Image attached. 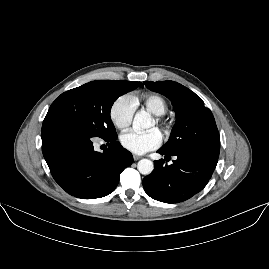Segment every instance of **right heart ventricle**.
I'll list each match as a JSON object with an SVG mask.
<instances>
[{
  "label": "right heart ventricle",
  "mask_w": 269,
  "mask_h": 269,
  "mask_svg": "<svg viewBox=\"0 0 269 269\" xmlns=\"http://www.w3.org/2000/svg\"><path fill=\"white\" fill-rule=\"evenodd\" d=\"M137 103L154 115H164L168 110L167 100L157 94L144 96Z\"/></svg>",
  "instance_id": "obj_1"
}]
</instances>
